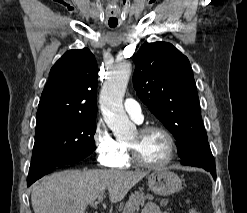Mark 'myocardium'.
<instances>
[{
    "label": "myocardium",
    "mask_w": 247,
    "mask_h": 213,
    "mask_svg": "<svg viewBox=\"0 0 247 213\" xmlns=\"http://www.w3.org/2000/svg\"><path fill=\"white\" fill-rule=\"evenodd\" d=\"M151 131H159L167 139L168 153H167L166 158L162 162L156 163V164L146 162L140 158V156L137 153L136 148L133 145L127 143L126 149H127L128 157H129V160L133 164L139 167L151 169V170L162 169V168L167 167L173 161L175 157V153H176V141L172 133L167 128L161 125H157V124L143 125L137 129V132L140 135L146 134Z\"/></svg>",
    "instance_id": "myocardium-1"
}]
</instances>
